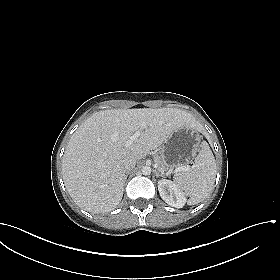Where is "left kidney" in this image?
I'll list each match as a JSON object with an SVG mask.
<instances>
[{
	"mask_svg": "<svg viewBox=\"0 0 280 280\" xmlns=\"http://www.w3.org/2000/svg\"><path fill=\"white\" fill-rule=\"evenodd\" d=\"M158 190L161 198L170 206L175 208H182L184 206L186 198L172 181L166 179L159 180Z\"/></svg>",
	"mask_w": 280,
	"mask_h": 280,
	"instance_id": "left-kidney-1",
	"label": "left kidney"
}]
</instances>
